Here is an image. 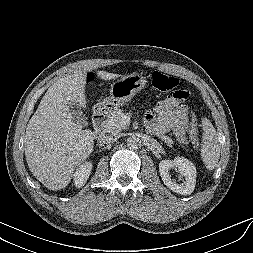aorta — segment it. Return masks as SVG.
Returning a JSON list of instances; mask_svg holds the SVG:
<instances>
[{
	"label": "aorta",
	"instance_id": "aorta-1",
	"mask_svg": "<svg viewBox=\"0 0 253 253\" xmlns=\"http://www.w3.org/2000/svg\"><path fill=\"white\" fill-rule=\"evenodd\" d=\"M141 145V141L140 139L133 135V136H130L128 139H127V146L128 148L132 149V150H136L139 148V146Z\"/></svg>",
	"mask_w": 253,
	"mask_h": 253
}]
</instances>
